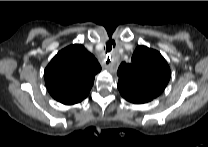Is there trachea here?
<instances>
[{
	"mask_svg": "<svg viewBox=\"0 0 208 147\" xmlns=\"http://www.w3.org/2000/svg\"><path fill=\"white\" fill-rule=\"evenodd\" d=\"M112 43H113V46H114L115 45L114 42H112ZM106 49H107L108 52H110L112 50V45L110 43H108L107 46H106Z\"/></svg>",
	"mask_w": 208,
	"mask_h": 147,
	"instance_id": "1",
	"label": "trachea"
}]
</instances>
